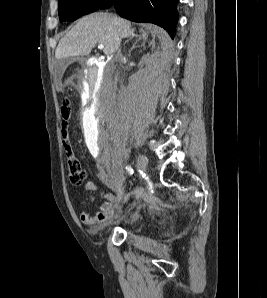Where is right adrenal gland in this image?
I'll return each mask as SVG.
<instances>
[{"label":"right adrenal gland","mask_w":267,"mask_h":298,"mask_svg":"<svg viewBox=\"0 0 267 298\" xmlns=\"http://www.w3.org/2000/svg\"><path fill=\"white\" fill-rule=\"evenodd\" d=\"M134 37H138V35L137 34H134V33H132L131 34V36L129 37V39H127L126 41H125V43H127L129 40H131L132 38H134Z\"/></svg>","instance_id":"right-adrenal-gland-1"}]
</instances>
